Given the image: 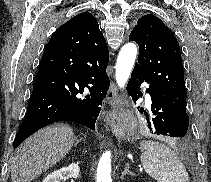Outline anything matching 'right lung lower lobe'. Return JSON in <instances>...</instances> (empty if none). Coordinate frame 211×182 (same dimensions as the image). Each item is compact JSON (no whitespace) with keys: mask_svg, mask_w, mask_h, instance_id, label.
<instances>
[{"mask_svg":"<svg viewBox=\"0 0 211 182\" xmlns=\"http://www.w3.org/2000/svg\"><path fill=\"white\" fill-rule=\"evenodd\" d=\"M108 60L106 43L80 44L56 32L43 53L14 148L37 130L58 121L95 130L110 85Z\"/></svg>","mask_w":211,"mask_h":182,"instance_id":"1","label":"right lung lower lobe"}]
</instances>
